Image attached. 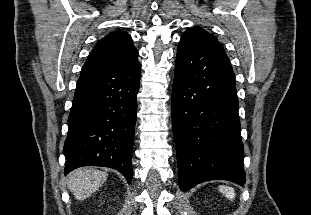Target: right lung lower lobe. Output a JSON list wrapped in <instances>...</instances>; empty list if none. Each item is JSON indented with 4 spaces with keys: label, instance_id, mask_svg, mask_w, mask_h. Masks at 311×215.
Returning a JSON list of instances; mask_svg holds the SVG:
<instances>
[{
    "label": "right lung lower lobe",
    "instance_id": "obj_1",
    "mask_svg": "<svg viewBox=\"0 0 311 215\" xmlns=\"http://www.w3.org/2000/svg\"><path fill=\"white\" fill-rule=\"evenodd\" d=\"M140 74L139 61L126 68L83 66L68 118L65 174L103 166L131 182Z\"/></svg>",
    "mask_w": 311,
    "mask_h": 215
}]
</instances>
